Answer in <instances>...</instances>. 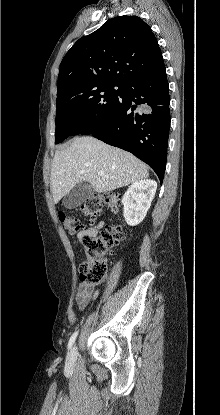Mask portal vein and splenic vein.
I'll return each instance as SVG.
<instances>
[{"instance_id":"obj_1","label":"portal vein and splenic vein","mask_w":220,"mask_h":415,"mask_svg":"<svg viewBox=\"0 0 220 415\" xmlns=\"http://www.w3.org/2000/svg\"><path fill=\"white\" fill-rule=\"evenodd\" d=\"M98 175H100V176H104V172L99 171V172H98Z\"/></svg>"}]
</instances>
